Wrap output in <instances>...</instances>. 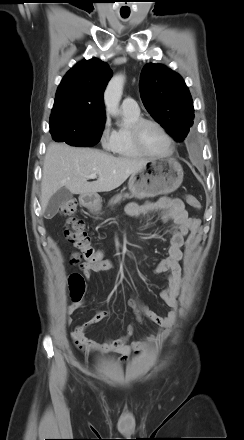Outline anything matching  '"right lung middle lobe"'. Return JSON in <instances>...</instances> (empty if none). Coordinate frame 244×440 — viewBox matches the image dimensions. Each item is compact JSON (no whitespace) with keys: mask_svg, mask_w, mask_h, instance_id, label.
<instances>
[{"mask_svg":"<svg viewBox=\"0 0 244 440\" xmlns=\"http://www.w3.org/2000/svg\"><path fill=\"white\" fill-rule=\"evenodd\" d=\"M105 122L50 121V133L56 142L72 146L95 145L102 135Z\"/></svg>","mask_w":244,"mask_h":440,"instance_id":"dd1d6c3e","label":"right lung middle lobe"}]
</instances>
